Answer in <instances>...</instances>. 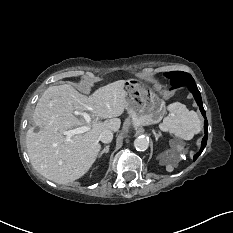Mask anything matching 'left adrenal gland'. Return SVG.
<instances>
[{
    "label": "left adrenal gland",
    "mask_w": 233,
    "mask_h": 233,
    "mask_svg": "<svg viewBox=\"0 0 233 233\" xmlns=\"http://www.w3.org/2000/svg\"><path fill=\"white\" fill-rule=\"evenodd\" d=\"M153 133H154V135H155V137H156V140H158V138H159V134H157L155 131H153Z\"/></svg>",
    "instance_id": "a2214340"
}]
</instances>
